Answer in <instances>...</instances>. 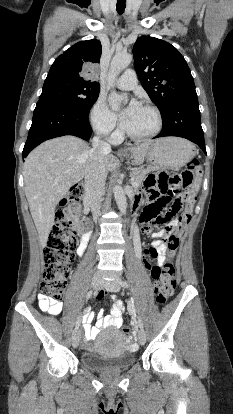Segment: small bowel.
Returning a JSON list of instances; mask_svg holds the SVG:
<instances>
[{"label":"small bowel","mask_w":233,"mask_h":414,"mask_svg":"<svg viewBox=\"0 0 233 414\" xmlns=\"http://www.w3.org/2000/svg\"><path fill=\"white\" fill-rule=\"evenodd\" d=\"M145 194L151 203L150 195L146 192ZM148 206L144 209L141 215V221L143 223L142 232L144 234H149L151 232V229L148 226V222L156 221V218H154L148 213V210H147ZM164 222H168V224L163 230L155 233L154 234L155 237H161L165 235L166 233L170 232L174 227L178 225V219H174L170 221V216H167V215L160 216L159 223H164ZM89 238H90L89 233L82 234L81 241H80V244L77 250L79 255L84 254ZM139 255H140V252H139ZM151 257L157 258V266L155 267L159 268L161 265H163V263L165 262V255L163 253V244L158 243V242L155 243L151 248L144 250L143 257H140V259L143 262L144 267L149 271L151 270L152 267L150 266L148 259ZM97 296L99 299H102L104 297V293L100 292L98 293ZM111 299L113 302L111 314L105 315L104 311L100 310L97 314V323L95 326L91 324L94 318V314L91 312L90 307H88L85 313L83 314L82 323H83V329L85 333V339L87 341L94 339L96 335L98 334V332L104 328H107V327L120 328L123 325L122 316L125 311V305L122 300L118 299L115 296H112ZM38 303H39L40 309L43 312L49 313L51 315H59L63 308L62 302H60L59 300L53 299L44 294L38 295ZM127 307H128V311L131 314H133L134 303L132 300H129Z\"/></svg>","instance_id":"c3829d8e"}]
</instances>
